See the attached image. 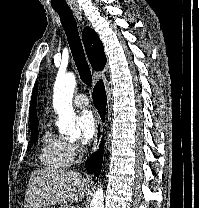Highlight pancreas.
I'll return each mask as SVG.
<instances>
[{"instance_id":"cf45deb5","label":"pancreas","mask_w":199,"mask_h":208,"mask_svg":"<svg viewBox=\"0 0 199 208\" xmlns=\"http://www.w3.org/2000/svg\"><path fill=\"white\" fill-rule=\"evenodd\" d=\"M60 208H71L70 206L66 205L64 207H60Z\"/></svg>"}]
</instances>
